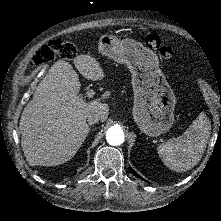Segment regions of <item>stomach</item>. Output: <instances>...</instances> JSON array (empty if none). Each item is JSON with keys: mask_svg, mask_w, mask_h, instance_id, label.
<instances>
[{"mask_svg": "<svg viewBox=\"0 0 221 221\" xmlns=\"http://www.w3.org/2000/svg\"><path fill=\"white\" fill-rule=\"evenodd\" d=\"M98 47L103 55L127 64L134 92L132 114L139 129L150 137L168 132L174 123L176 98L157 56L139 42L111 34L102 35Z\"/></svg>", "mask_w": 221, "mask_h": 221, "instance_id": "1", "label": "stomach"}]
</instances>
